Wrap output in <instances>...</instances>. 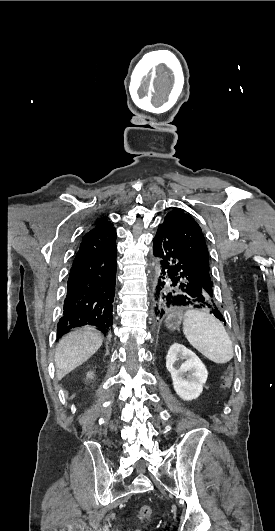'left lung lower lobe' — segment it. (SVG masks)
Segmentation results:
<instances>
[{
  "label": "left lung lower lobe",
  "instance_id": "1",
  "mask_svg": "<svg viewBox=\"0 0 275 531\" xmlns=\"http://www.w3.org/2000/svg\"><path fill=\"white\" fill-rule=\"evenodd\" d=\"M153 253L159 264L153 298L156 317H163L173 308H195L209 311L225 324L213 293L201 285L178 239L166 224L158 227Z\"/></svg>",
  "mask_w": 275,
  "mask_h": 531
}]
</instances>
